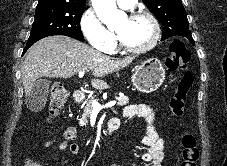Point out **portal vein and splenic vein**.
<instances>
[{
  "label": "portal vein and splenic vein",
  "mask_w": 227,
  "mask_h": 166,
  "mask_svg": "<svg viewBox=\"0 0 227 166\" xmlns=\"http://www.w3.org/2000/svg\"><path fill=\"white\" fill-rule=\"evenodd\" d=\"M85 71H80L78 74H79V78H82L83 75H84ZM116 102H109L105 105H100L96 100H92V107H93V110L95 111H100L102 110L103 108H108V107H112L115 105Z\"/></svg>",
  "instance_id": "18ae733b"
}]
</instances>
